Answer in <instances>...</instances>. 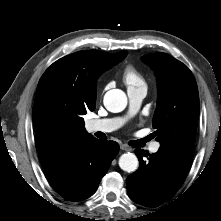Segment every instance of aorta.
<instances>
[{"label":"aorta","mask_w":221,"mask_h":221,"mask_svg":"<svg viewBox=\"0 0 221 221\" xmlns=\"http://www.w3.org/2000/svg\"><path fill=\"white\" fill-rule=\"evenodd\" d=\"M105 108L113 113L121 112L127 105V96L120 89L109 90L104 96ZM138 158L133 153H124L119 158V166L123 171L134 172L138 168Z\"/></svg>","instance_id":"obj_1"}]
</instances>
